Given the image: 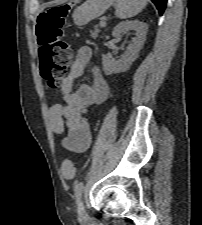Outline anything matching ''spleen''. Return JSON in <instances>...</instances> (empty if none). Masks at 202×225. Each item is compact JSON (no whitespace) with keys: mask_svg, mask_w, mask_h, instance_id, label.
<instances>
[{"mask_svg":"<svg viewBox=\"0 0 202 225\" xmlns=\"http://www.w3.org/2000/svg\"><path fill=\"white\" fill-rule=\"evenodd\" d=\"M148 0H115L116 16L120 19L131 18L140 13Z\"/></svg>","mask_w":202,"mask_h":225,"instance_id":"3e777b00","label":"spleen"}]
</instances>
